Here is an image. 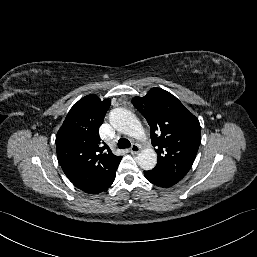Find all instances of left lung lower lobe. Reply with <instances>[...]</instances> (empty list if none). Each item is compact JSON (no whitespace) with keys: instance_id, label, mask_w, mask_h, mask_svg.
<instances>
[{"instance_id":"left-lung-lower-lobe-1","label":"left lung lower lobe","mask_w":257,"mask_h":257,"mask_svg":"<svg viewBox=\"0 0 257 257\" xmlns=\"http://www.w3.org/2000/svg\"><path fill=\"white\" fill-rule=\"evenodd\" d=\"M144 175L148 181L160 187H170L179 182L178 179L170 177L153 169L150 171H145Z\"/></svg>"}]
</instances>
